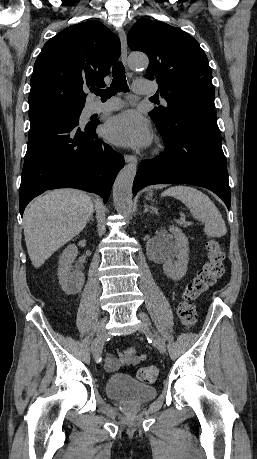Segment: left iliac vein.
Masks as SVG:
<instances>
[{"mask_svg": "<svg viewBox=\"0 0 257 459\" xmlns=\"http://www.w3.org/2000/svg\"><path fill=\"white\" fill-rule=\"evenodd\" d=\"M138 317L141 319V324L138 326V331L144 334L151 336L154 340L156 348L159 350L160 353H164L166 350L165 343L163 339L155 334L152 330L151 322L148 316L144 313L139 312Z\"/></svg>", "mask_w": 257, "mask_h": 459, "instance_id": "obj_1", "label": "left iliac vein"}]
</instances>
